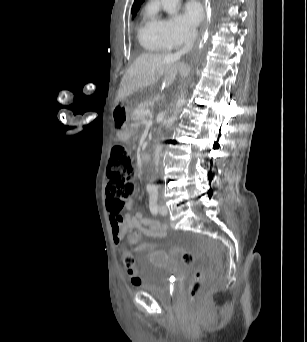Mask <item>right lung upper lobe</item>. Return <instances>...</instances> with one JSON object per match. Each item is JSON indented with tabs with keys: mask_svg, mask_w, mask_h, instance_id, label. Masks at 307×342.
I'll list each match as a JSON object with an SVG mask.
<instances>
[{
	"mask_svg": "<svg viewBox=\"0 0 307 342\" xmlns=\"http://www.w3.org/2000/svg\"><path fill=\"white\" fill-rule=\"evenodd\" d=\"M144 0H135L133 6H132V13L135 14L139 8H140V5L143 3Z\"/></svg>",
	"mask_w": 307,
	"mask_h": 342,
	"instance_id": "1",
	"label": "right lung upper lobe"
}]
</instances>
